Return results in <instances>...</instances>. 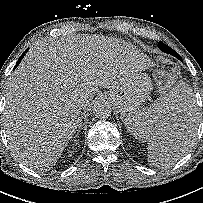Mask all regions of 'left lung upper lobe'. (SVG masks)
I'll return each instance as SVG.
<instances>
[{
    "label": "left lung upper lobe",
    "mask_w": 203,
    "mask_h": 203,
    "mask_svg": "<svg viewBox=\"0 0 203 203\" xmlns=\"http://www.w3.org/2000/svg\"><path fill=\"white\" fill-rule=\"evenodd\" d=\"M159 47H163V46H165L162 42H160L159 43V45H158ZM167 47V46H166Z\"/></svg>",
    "instance_id": "5c2ea615"
}]
</instances>
